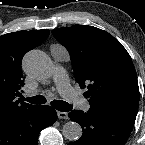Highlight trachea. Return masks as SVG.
Segmentation results:
<instances>
[{"label":"trachea","mask_w":145,"mask_h":145,"mask_svg":"<svg viewBox=\"0 0 145 145\" xmlns=\"http://www.w3.org/2000/svg\"><path fill=\"white\" fill-rule=\"evenodd\" d=\"M22 99L25 100V101H28L29 103H32V104H44L46 102L45 97L42 96V95H37V96H34V97H29V98L22 97ZM51 105L55 109H57L61 112H68L72 109V106L70 104H68L65 101H61V100H53L51 102Z\"/></svg>","instance_id":"1"}]
</instances>
